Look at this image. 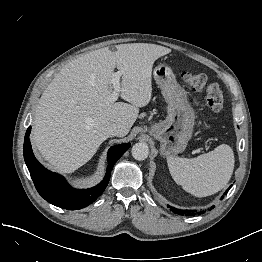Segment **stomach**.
<instances>
[{"label": "stomach", "instance_id": "obj_1", "mask_svg": "<svg viewBox=\"0 0 262 262\" xmlns=\"http://www.w3.org/2000/svg\"><path fill=\"white\" fill-rule=\"evenodd\" d=\"M153 75L167 102L168 115L164 121L151 126L150 134L160 142L161 153L171 157L185 150L193 133L195 113L187 92L169 66L158 65Z\"/></svg>", "mask_w": 262, "mask_h": 262}]
</instances>
